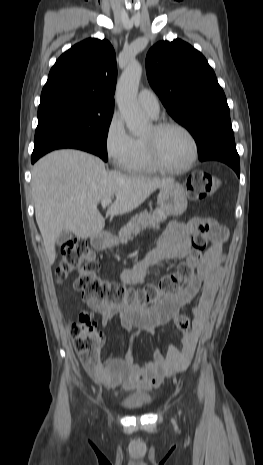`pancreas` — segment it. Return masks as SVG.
Wrapping results in <instances>:
<instances>
[{
    "instance_id": "pancreas-1",
    "label": "pancreas",
    "mask_w": 263,
    "mask_h": 465,
    "mask_svg": "<svg viewBox=\"0 0 263 465\" xmlns=\"http://www.w3.org/2000/svg\"><path fill=\"white\" fill-rule=\"evenodd\" d=\"M167 216L159 210L143 211L139 215L134 216L125 226L118 232V241L122 244H127L134 236L142 230L158 229L160 224L166 220Z\"/></svg>"
}]
</instances>
